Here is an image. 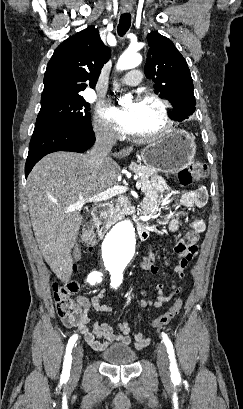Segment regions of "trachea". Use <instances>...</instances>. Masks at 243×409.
<instances>
[{
	"instance_id": "obj_1",
	"label": "trachea",
	"mask_w": 243,
	"mask_h": 409,
	"mask_svg": "<svg viewBox=\"0 0 243 409\" xmlns=\"http://www.w3.org/2000/svg\"><path fill=\"white\" fill-rule=\"evenodd\" d=\"M131 25V15L129 13L122 14L120 17V22L117 28V32L120 36H123L130 28Z\"/></svg>"
}]
</instances>
